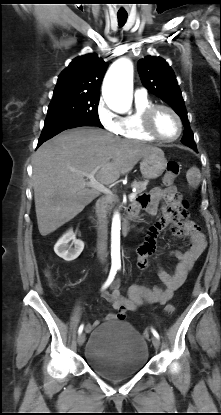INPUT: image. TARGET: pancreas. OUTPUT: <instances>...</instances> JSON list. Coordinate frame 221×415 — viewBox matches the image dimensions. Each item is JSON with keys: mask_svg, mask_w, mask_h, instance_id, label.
I'll use <instances>...</instances> for the list:
<instances>
[{"mask_svg": "<svg viewBox=\"0 0 221 415\" xmlns=\"http://www.w3.org/2000/svg\"><path fill=\"white\" fill-rule=\"evenodd\" d=\"M148 184V181H134L132 182L131 186L133 188H136L135 194H140L143 191L146 190V186ZM118 202V199L116 198V196L112 195V194H107L106 196L102 197L101 200H99L96 204L97 210L100 211L102 210L103 212H107L108 210H110L113 207V203Z\"/></svg>", "mask_w": 221, "mask_h": 415, "instance_id": "pancreas-1", "label": "pancreas"}]
</instances>
